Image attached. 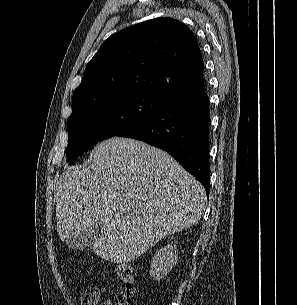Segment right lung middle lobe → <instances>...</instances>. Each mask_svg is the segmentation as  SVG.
Returning a JSON list of instances; mask_svg holds the SVG:
<instances>
[{"instance_id":"right-lung-middle-lobe-1","label":"right lung middle lobe","mask_w":297,"mask_h":305,"mask_svg":"<svg viewBox=\"0 0 297 305\" xmlns=\"http://www.w3.org/2000/svg\"><path fill=\"white\" fill-rule=\"evenodd\" d=\"M167 101V98L149 93H124L73 110L67 120L69 163L73 165L93 144L145 120Z\"/></svg>"}]
</instances>
